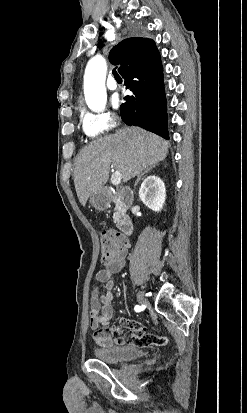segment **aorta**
<instances>
[{
  "label": "aorta",
  "mask_w": 247,
  "mask_h": 413,
  "mask_svg": "<svg viewBox=\"0 0 247 413\" xmlns=\"http://www.w3.org/2000/svg\"><path fill=\"white\" fill-rule=\"evenodd\" d=\"M106 72V61L102 56L90 59L84 75V95L88 107L93 111H102L106 106Z\"/></svg>",
  "instance_id": "1"
}]
</instances>
